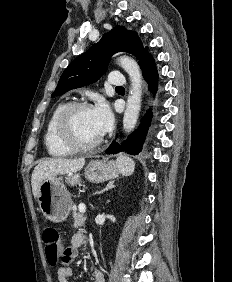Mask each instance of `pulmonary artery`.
I'll list each match as a JSON object with an SVG mask.
<instances>
[{
  "instance_id": "pulmonary-artery-1",
  "label": "pulmonary artery",
  "mask_w": 232,
  "mask_h": 282,
  "mask_svg": "<svg viewBox=\"0 0 232 282\" xmlns=\"http://www.w3.org/2000/svg\"><path fill=\"white\" fill-rule=\"evenodd\" d=\"M125 83L124 76L119 72H112L109 75V84L114 86H122Z\"/></svg>"
}]
</instances>
